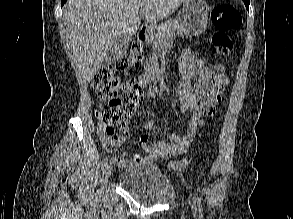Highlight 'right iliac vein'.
Listing matches in <instances>:
<instances>
[{"label":"right iliac vein","mask_w":293,"mask_h":219,"mask_svg":"<svg viewBox=\"0 0 293 219\" xmlns=\"http://www.w3.org/2000/svg\"><path fill=\"white\" fill-rule=\"evenodd\" d=\"M111 174H112V167L111 166L106 167L104 170V179H103L104 184L108 182Z\"/></svg>","instance_id":"1"}]
</instances>
